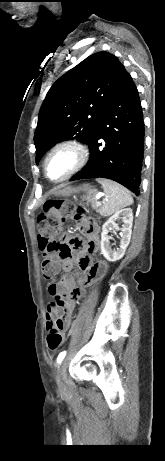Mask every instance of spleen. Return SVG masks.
Wrapping results in <instances>:
<instances>
[{
	"label": "spleen",
	"instance_id": "spleen-1",
	"mask_svg": "<svg viewBox=\"0 0 165 461\" xmlns=\"http://www.w3.org/2000/svg\"><path fill=\"white\" fill-rule=\"evenodd\" d=\"M103 187L106 194V201L100 208L102 216H109L118 210L133 204V198L125 187L107 179L97 180Z\"/></svg>",
	"mask_w": 165,
	"mask_h": 461
}]
</instances>
